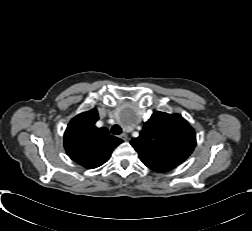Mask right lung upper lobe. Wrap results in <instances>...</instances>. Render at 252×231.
Instances as JSON below:
<instances>
[{"label": "right lung upper lobe", "mask_w": 252, "mask_h": 231, "mask_svg": "<svg viewBox=\"0 0 252 231\" xmlns=\"http://www.w3.org/2000/svg\"><path fill=\"white\" fill-rule=\"evenodd\" d=\"M96 109L73 118L64 133V147L69 157L88 169L104 164L122 139L112 136L105 127L97 128Z\"/></svg>", "instance_id": "cb5924a9"}]
</instances>
